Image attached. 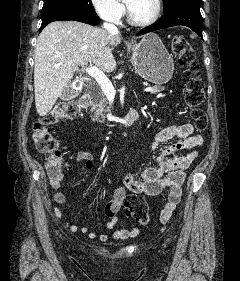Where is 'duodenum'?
Wrapping results in <instances>:
<instances>
[{
	"label": "duodenum",
	"mask_w": 240,
	"mask_h": 281,
	"mask_svg": "<svg viewBox=\"0 0 240 281\" xmlns=\"http://www.w3.org/2000/svg\"><path fill=\"white\" fill-rule=\"evenodd\" d=\"M91 97L89 95H83L79 100V106L82 110H87L91 105ZM139 117L138 112L135 109H131L125 114H122L116 123L118 128H124L131 125Z\"/></svg>",
	"instance_id": "duodenum-1"
}]
</instances>
